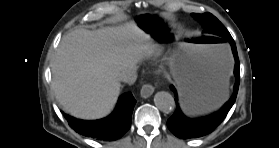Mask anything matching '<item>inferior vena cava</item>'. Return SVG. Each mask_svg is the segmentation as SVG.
<instances>
[{
    "label": "inferior vena cava",
    "mask_w": 279,
    "mask_h": 148,
    "mask_svg": "<svg viewBox=\"0 0 279 148\" xmlns=\"http://www.w3.org/2000/svg\"><path fill=\"white\" fill-rule=\"evenodd\" d=\"M118 79L124 83H128L129 85H132L135 83L137 79L136 71L132 68L123 70L119 74Z\"/></svg>",
    "instance_id": "1"
}]
</instances>
